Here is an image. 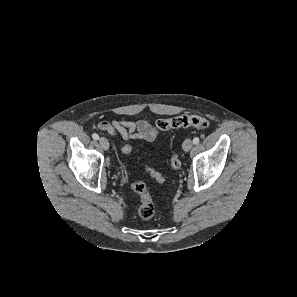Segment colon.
Returning <instances> with one entry per match:
<instances>
[{"label":"colon","mask_w":297,"mask_h":297,"mask_svg":"<svg viewBox=\"0 0 297 297\" xmlns=\"http://www.w3.org/2000/svg\"><path fill=\"white\" fill-rule=\"evenodd\" d=\"M188 127L205 130L209 127V122L206 118L193 114H183L157 121V128L160 131ZM131 150V145L127 144L121 147L120 152L121 154L126 155ZM170 165L173 169H178L181 165L179 157L172 156L170 158ZM148 172L157 182L164 183L166 181L165 177L154 169H148ZM131 188L140 196L141 199V204L138 209L140 218L144 220L152 218L155 213V207L146 185L142 181H135L131 184Z\"/></svg>","instance_id":"5ec220e1"}]
</instances>
